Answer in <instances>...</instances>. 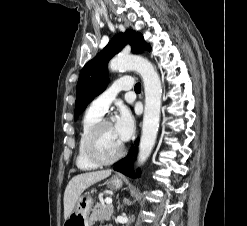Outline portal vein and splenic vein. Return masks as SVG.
<instances>
[{
    "instance_id": "18ae733b",
    "label": "portal vein and splenic vein",
    "mask_w": 247,
    "mask_h": 226,
    "mask_svg": "<svg viewBox=\"0 0 247 226\" xmlns=\"http://www.w3.org/2000/svg\"><path fill=\"white\" fill-rule=\"evenodd\" d=\"M105 202H106L107 204H112V199H111V198H106V199H105Z\"/></svg>"
}]
</instances>
